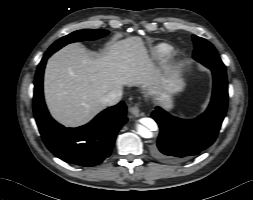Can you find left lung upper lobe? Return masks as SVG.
Returning <instances> with one entry per match:
<instances>
[{
	"label": "left lung upper lobe",
	"mask_w": 253,
	"mask_h": 200,
	"mask_svg": "<svg viewBox=\"0 0 253 200\" xmlns=\"http://www.w3.org/2000/svg\"><path fill=\"white\" fill-rule=\"evenodd\" d=\"M192 38L195 48L193 53L194 59L210 69H217L219 71L226 72L225 66L214 46L204 38L195 35H193Z\"/></svg>",
	"instance_id": "obj_1"
}]
</instances>
